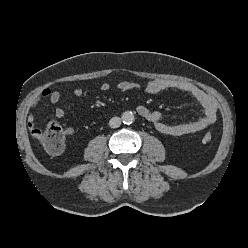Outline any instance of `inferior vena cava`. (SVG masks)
Segmentation results:
<instances>
[{"label": "inferior vena cava", "instance_id": "inferior-vena-cava-1", "mask_svg": "<svg viewBox=\"0 0 248 248\" xmlns=\"http://www.w3.org/2000/svg\"><path fill=\"white\" fill-rule=\"evenodd\" d=\"M121 125V119L119 117H113L109 121V126L111 128H118Z\"/></svg>", "mask_w": 248, "mask_h": 248}]
</instances>
